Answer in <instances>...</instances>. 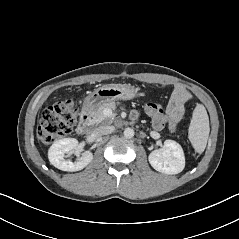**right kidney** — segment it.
<instances>
[{
  "mask_svg": "<svg viewBox=\"0 0 239 239\" xmlns=\"http://www.w3.org/2000/svg\"><path fill=\"white\" fill-rule=\"evenodd\" d=\"M78 147V141L74 138H63L50 147L48 158L50 163L62 171L75 172L85 168L93 159V154L90 151L82 153L81 158L75 162L65 160L64 155Z\"/></svg>",
  "mask_w": 239,
  "mask_h": 239,
  "instance_id": "1",
  "label": "right kidney"
}]
</instances>
